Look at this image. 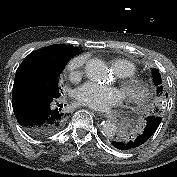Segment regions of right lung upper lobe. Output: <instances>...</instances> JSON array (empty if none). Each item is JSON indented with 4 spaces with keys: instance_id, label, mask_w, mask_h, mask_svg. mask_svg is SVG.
<instances>
[{
    "instance_id": "right-lung-upper-lobe-1",
    "label": "right lung upper lobe",
    "mask_w": 177,
    "mask_h": 177,
    "mask_svg": "<svg viewBox=\"0 0 177 177\" xmlns=\"http://www.w3.org/2000/svg\"><path fill=\"white\" fill-rule=\"evenodd\" d=\"M79 50L77 47L55 44L30 53L16 71L15 81L27 71H50L67 63Z\"/></svg>"
}]
</instances>
